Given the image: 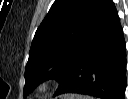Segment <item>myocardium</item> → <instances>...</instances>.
<instances>
[{"mask_svg":"<svg viewBox=\"0 0 128 99\" xmlns=\"http://www.w3.org/2000/svg\"><path fill=\"white\" fill-rule=\"evenodd\" d=\"M55 79H45L42 82H40L36 87V92L39 95L47 94L52 87L55 85Z\"/></svg>","mask_w":128,"mask_h":99,"instance_id":"myocardium-1","label":"myocardium"}]
</instances>
